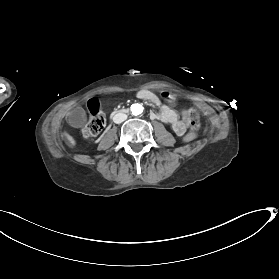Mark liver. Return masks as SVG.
<instances>
[{
	"label": "liver",
	"mask_w": 279,
	"mask_h": 279,
	"mask_svg": "<svg viewBox=\"0 0 279 279\" xmlns=\"http://www.w3.org/2000/svg\"><path fill=\"white\" fill-rule=\"evenodd\" d=\"M65 137L72 147H77L78 145L77 139L71 133L66 132Z\"/></svg>",
	"instance_id": "6515ba94"
}]
</instances>
